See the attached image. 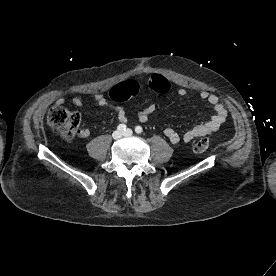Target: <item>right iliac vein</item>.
<instances>
[{
    "mask_svg": "<svg viewBox=\"0 0 276 276\" xmlns=\"http://www.w3.org/2000/svg\"><path fill=\"white\" fill-rule=\"evenodd\" d=\"M112 137L114 139H120L122 137V133L119 130L113 132Z\"/></svg>",
    "mask_w": 276,
    "mask_h": 276,
    "instance_id": "obj_1",
    "label": "right iliac vein"
}]
</instances>
